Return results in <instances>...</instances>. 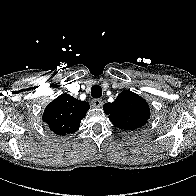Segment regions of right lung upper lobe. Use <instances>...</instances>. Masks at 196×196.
<instances>
[{
    "label": "right lung upper lobe",
    "instance_id": "obj_1",
    "mask_svg": "<svg viewBox=\"0 0 196 196\" xmlns=\"http://www.w3.org/2000/svg\"><path fill=\"white\" fill-rule=\"evenodd\" d=\"M89 108L86 101L64 93L46 106L42 119L55 134L66 135L79 129Z\"/></svg>",
    "mask_w": 196,
    "mask_h": 196
}]
</instances>
